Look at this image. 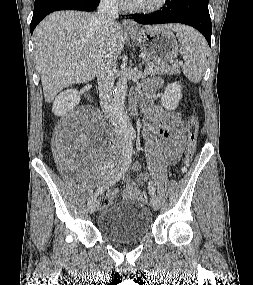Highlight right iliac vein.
Returning <instances> with one entry per match:
<instances>
[{"label": "right iliac vein", "instance_id": "right-iliac-vein-1", "mask_svg": "<svg viewBox=\"0 0 253 285\" xmlns=\"http://www.w3.org/2000/svg\"><path fill=\"white\" fill-rule=\"evenodd\" d=\"M88 211L90 213H93L96 210L97 207V199L96 196H91L88 200Z\"/></svg>", "mask_w": 253, "mask_h": 285}]
</instances>
